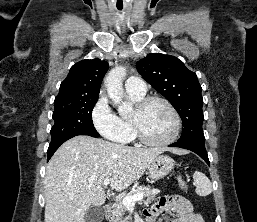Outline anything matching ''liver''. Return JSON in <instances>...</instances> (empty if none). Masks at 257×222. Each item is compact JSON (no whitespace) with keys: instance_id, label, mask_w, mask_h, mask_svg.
Wrapping results in <instances>:
<instances>
[{"instance_id":"6515ba94","label":"liver","mask_w":257,"mask_h":222,"mask_svg":"<svg viewBox=\"0 0 257 222\" xmlns=\"http://www.w3.org/2000/svg\"><path fill=\"white\" fill-rule=\"evenodd\" d=\"M167 150L184 153L177 149H138L85 135L69 139L46 167L45 222H85L91 205L105 203V179L111 180L112 189L122 191Z\"/></svg>"}]
</instances>
